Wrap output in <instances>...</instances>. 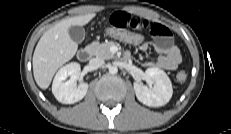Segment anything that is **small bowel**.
Segmentation results:
<instances>
[{"mask_svg": "<svg viewBox=\"0 0 231 134\" xmlns=\"http://www.w3.org/2000/svg\"><path fill=\"white\" fill-rule=\"evenodd\" d=\"M110 27L127 29L132 31H146L154 39L152 44L146 43L139 48L146 51L152 45L159 54L155 62H145L148 68H160L164 70H175L181 62L179 48L173 43L170 30L161 23L149 19H142L132 13L117 11L109 18ZM130 54L127 53L126 57Z\"/></svg>", "mask_w": 231, "mask_h": 134, "instance_id": "obj_1", "label": "small bowel"}]
</instances>
